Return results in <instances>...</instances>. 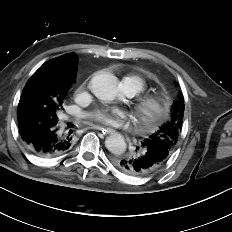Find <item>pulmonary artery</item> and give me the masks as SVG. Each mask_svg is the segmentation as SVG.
<instances>
[{
  "label": "pulmonary artery",
  "instance_id": "pulmonary-artery-1",
  "mask_svg": "<svg viewBox=\"0 0 232 232\" xmlns=\"http://www.w3.org/2000/svg\"><path fill=\"white\" fill-rule=\"evenodd\" d=\"M122 88L125 91V93L129 96H134L135 94H137V91L134 88V86L126 83L125 81H122Z\"/></svg>",
  "mask_w": 232,
  "mask_h": 232
}]
</instances>
